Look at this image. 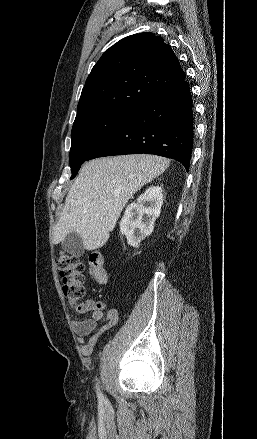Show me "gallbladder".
<instances>
[{
	"instance_id": "obj_1",
	"label": "gallbladder",
	"mask_w": 257,
	"mask_h": 439,
	"mask_svg": "<svg viewBox=\"0 0 257 439\" xmlns=\"http://www.w3.org/2000/svg\"><path fill=\"white\" fill-rule=\"evenodd\" d=\"M61 247L65 252L75 257H80L84 254L82 238L75 232H72L66 236L61 243Z\"/></svg>"
}]
</instances>
